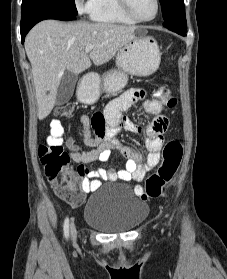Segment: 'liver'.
<instances>
[{
  "label": "liver",
  "instance_id": "1",
  "mask_svg": "<svg viewBox=\"0 0 227 279\" xmlns=\"http://www.w3.org/2000/svg\"><path fill=\"white\" fill-rule=\"evenodd\" d=\"M136 26L86 21L63 23L45 20L34 26L25 40L36 91L38 118L43 120L56 104L65 71L79 74L91 66L110 61L135 38ZM94 48L85 53L87 45Z\"/></svg>",
  "mask_w": 227,
  "mask_h": 279
}]
</instances>
